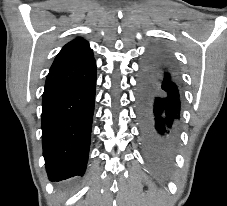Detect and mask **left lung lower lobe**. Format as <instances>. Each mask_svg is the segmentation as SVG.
Returning <instances> with one entry per match:
<instances>
[{"instance_id": "obj_1", "label": "left lung lower lobe", "mask_w": 227, "mask_h": 206, "mask_svg": "<svg viewBox=\"0 0 227 206\" xmlns=\"http://www.w3.org/2000/svg\"><path fill=\"white\" fill-rule=\"evenodd\" d=\"M137 117L141 140L148 149L171 150L180 118V93L176 75L160 51L152 52L140 68Z\"/></svg>"}]
</instances>
